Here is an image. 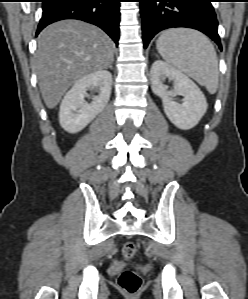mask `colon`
I'll list each match as a JSON object with an SVG mask.
<instances>
[{
  "label": "colon",
  "mask_w": 248,
  "mask_h": 299,
  "mask_svg": "<svg viewBox=\"0 0 248 299\" xmlns=\"http://www.w3.org/2000/svg\"><path fill=\"white\" fill-rule=\"evenodd\" d=\"M122 252L126 259L133 258L136 253V244L133 241L125 242ZM118 285L124 293L134 295L141 289L142 278L137 270L128 268L119 275Z\"/></svg>",
  "instance_id": "colon-1"
}]
</instances>
